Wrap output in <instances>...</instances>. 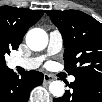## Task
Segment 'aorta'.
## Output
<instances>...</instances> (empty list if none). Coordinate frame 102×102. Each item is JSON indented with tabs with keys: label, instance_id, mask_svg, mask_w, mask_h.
Wrapping results in <instances>:
<instances>
[{
	"label": "aorta",
	"instance_id": "obj_1",
	"mask_svg": "<svg viewBox=\"0 0 102 102\" xmlns=\"http://www.w3.org/2000/svg\"><path fill=\"white\" fill-rule=\"evenodd\" d=\"M26 43L33 51L44 50L48 44V35L41 28H33L26 35ZM50 93L55 97L64 95V84L61 81H53L49 85Z\"/></svg>",
	"mask_w": 102,
	"mask_h": 102
}]
</instances>
